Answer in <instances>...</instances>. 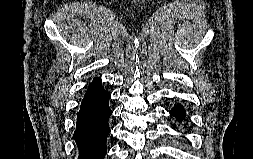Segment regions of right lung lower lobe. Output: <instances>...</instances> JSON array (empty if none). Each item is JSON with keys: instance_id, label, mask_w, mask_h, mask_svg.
<instances>
[{"instance_id": "right-lung-lower-lobe-1", "label": "right lung lower lobe", "mask_w": 253, "mask_h": 159, "mask_svg": "<svg viewBox=\"0 0 253 159\" xmlns=\"http://www.w3.org/2000/svg\"><path fill=\"white\" fill-rule=\"evenodd\" d=\"M109 99L110 94L103 89L101 79L94 78L82 100L73 135L80 159H104L107 153L108 120L112 114Z\"/></svg>"}]
</instances>
